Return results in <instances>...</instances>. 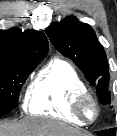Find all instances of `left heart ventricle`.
Here are the masks:
<instances>
[{
    "label": "left heart ventricle",
    "instance_id": "obj_1",
    "mask_svg": "<svg viewBox=\"0 0 117 136\" xmlns=\"http://www.w3.org/2000/svg\"><path fill=\"white\" fill-rule=\"evenodd\" d=\"M88 114L91 115L92 114V110L89 108L88 109Z\"/></svg>",
    "mask_w": 117,
    "mask_h": 136
}]
</instances>
